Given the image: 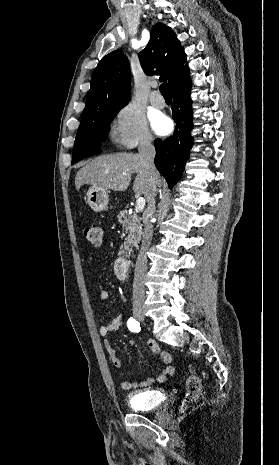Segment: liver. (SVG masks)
Instances as JSON below:
<instances>
[{
	"label": "liver",
	"instance_id": "obj_1",
	"mask_svg": "<svg viewBox=\"0 0 279 465\" xmlns=\"http://www.w3.org/2000/svg\"><path fill=\"white\" fill-rule=\"evenodd\" d=\"M136 173L133 191L147 197L149 178L143 160L139 154L115 153L101 155L89 161L76 174L75 187L79 191L82 185H91L113 191H124L128 188L131 176ZM157 186L161 185V177L156 173Z\"/></svg>",
	"mask_w": 279,
	"mask_h": 465
}]
</instances>
